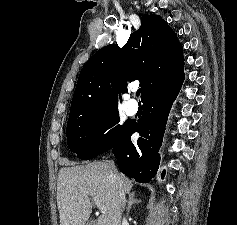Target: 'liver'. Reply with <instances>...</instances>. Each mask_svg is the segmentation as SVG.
Instances as JSON below:
<instances>
[{"mask_svg":"<svg viewBox=\"0 0 237 225\" xmlns=\"http://www.w3.org/2000/svg\"><path fill=\"white\" fill-rule=\"evenodd\" d=\"M132 187V181L115 175L107 162L61 168L57 179L60 225H85L92 213L91 197L106 207L96 225H121L120 191L128 194Z\"/></svg>","mask_w":237,"mask_h":225,"instance_id":"obj_1","label":"liver"}]
</instances>
